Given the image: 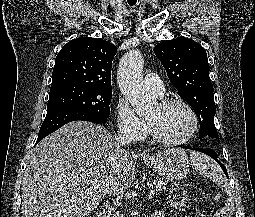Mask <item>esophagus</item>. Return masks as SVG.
Returning a JSON list of instances; mask_svg holds the SVG:
<instances>
[{
    "label": "esophagus",
    "instance_id": "esophagus-1",
    "mask_svg": "<svg viewBox=\"0 0 255 217\" xmlns=\"http://www.w3.org/2000/svg\"><path fill=\"white\" fill-rule=\"evenodd\" d=\"M144 157H146L147 155L146 154H143Z\"/></svg>",
    "mask_w": 255,
    "mask_h": 217
}]
</instances>
